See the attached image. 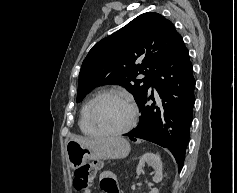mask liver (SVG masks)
Masks as SVG:
<instances>
[{"mask_svg":"<svg viewBox=\"0 0 237 193\" xmlns=\"http://www.w3.org/2000/svg\"><path fill=\"white\" fill-rule=\"evenodd\" d=\"M71 140L77 141L81 144H90V143H95V142H101L103 140H93L90 138H84V137H72Z\"/></svg>","mask_w":237,"mask_h":193,"instance_id":"liver-1","label":"liver"}]
</instances>
